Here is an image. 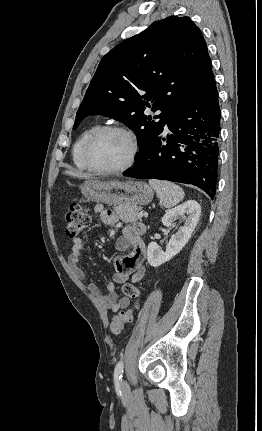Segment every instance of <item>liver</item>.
Wrapping results in <instances>:
<instances>
[{
  "label": "liver",
  "instance_id": "liver-1",
  "mask_svg": "<svg viewBox=\"0 0 262 431\" xmlns=\"http://www.w3.org/2000/svg\"><path fill=\"white\" fill-rule=\"evenodd\" d=\"M64 174H67V175H70L73 177H77L80 179H89L90 178V175H88V174L79 173V172H75V171H69V170L65 171Z\"/></svg>",
  "mask_w": 262,
  "mask_h": 431
}]
</instances>
